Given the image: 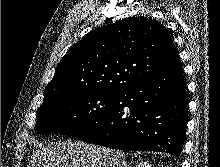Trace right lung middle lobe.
Listing matches in <instances>:
<instances>
[{
    "mask_svg": "<svg viewBox=\"0 0 220 167\" xmlns=\"http://www.w3.org/2000/svg\"><path fill=\"white\" fill-rule=\"evenodd\" d=\"M118 92L79 89L44 101L37 110L36 131L77 137L94 127L109 111Z\"/></svg>",
    "mask_w": 220,
    "mask_h": 167,
    "instance_id": "1",
    "label": "right lung middle lobe"
}]
</instances>
